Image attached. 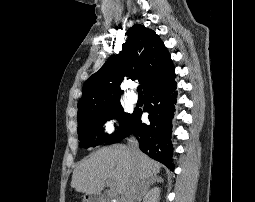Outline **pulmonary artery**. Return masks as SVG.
I'll return each instance as SVG.
<instances>
[{
    "label": "pulmonary artery",
    "mask_w": 255,
    "mask_h": 202,
    "mask_svg": "<svg viewBox=\"0 0 255 202\" xmlns=\"http://www.w3.org/2000/svg\"><path fill=\"white\" fill-rule=\"evenodd\" d=\"M128 99L131 103H136L138 101V97L134 92L128 94Z\"/></svg>",
    "instance_id": "pulmonary-artery-1"
}]
</instances>
